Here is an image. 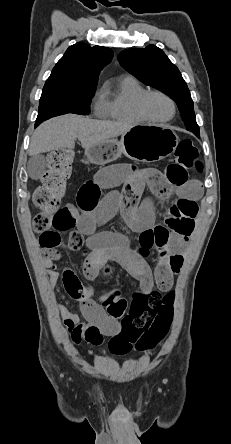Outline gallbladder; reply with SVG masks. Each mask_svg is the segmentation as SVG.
Masks as SVG:
<instances>
[{
  "label": "gallbladder",
  "mask_w": 231,
  "mask_h": 444,
  "mask_svg": "<svg viewBox=\"0 0 231 444\" xmlns=\"http://www.w3.org/2000/svg\"><path fill=\"white\" fill-rule=\"evenodd\" d=\"M45 158L38 154L32 156L27 164L28 174L32 179H39L45 171Z\"/></svg>",
  "instance_id": "1"
}]
</instances>
